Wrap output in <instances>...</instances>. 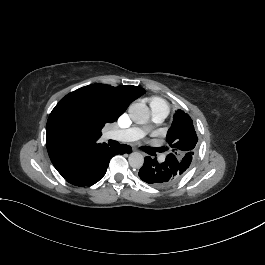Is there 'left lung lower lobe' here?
<instances>
[{
  "label": "left lung lower lobe",
  "instance_id": "1",
  "mask_svg": "<svg viewBox=\"0 0 265 265\" xmlns=\"http://www.w3.org/2000/svg\"><path fill=\"white\" fill-rule=\"evenodd\" d=\"M183 167L176 157L168 155L164 162L159 163L150 156L145 157V162L139 170L142 181L153 186H168L183 176Z\"/></svg>",
  "mask_w": 265,
  "mask_h": 265
}]
</instances>
